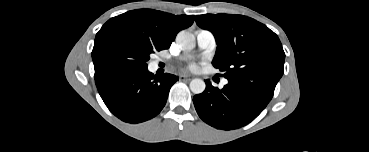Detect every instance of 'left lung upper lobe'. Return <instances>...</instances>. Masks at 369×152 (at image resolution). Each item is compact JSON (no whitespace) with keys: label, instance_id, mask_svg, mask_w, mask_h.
I'll list each match as a JSON object with an SVG mask.
<instances>
[{"label":"left lung upper lobe","instance_id":"5c2ea615","mask_svg":"<svg viewBox=\"0 0 369 152\" xmlns=\"http://www.w3.org/2000/svg\"><path fill=\"white\" fill-rule=\"evenodd\" d=\"M196 23L213 33L218 47L212 64L225 78L276 86L284 72L285 53L267 26L250 17L223 13L198 15Z\"/></svg>","mask_w":369,"mask_h":152}]
</instances>
